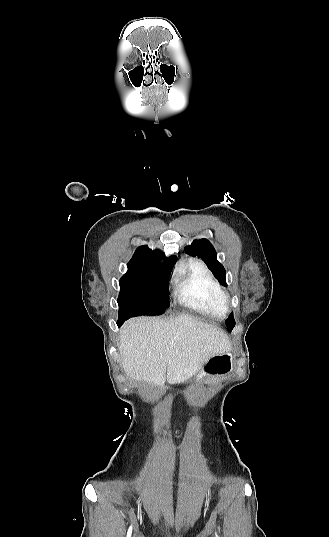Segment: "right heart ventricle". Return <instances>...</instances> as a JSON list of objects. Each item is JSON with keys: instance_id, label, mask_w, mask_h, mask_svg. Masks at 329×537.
<instances>
[{"instance_id": "1", "label": "right heart ventricle", "mask_w": 329, "mask_h": 537, "mask_svg": "<svg viewBox=\"0 0 329 537\" xmlns=\"http://www.w3.org/2000/svg\"><path fill=\"white\" fill-rule=\"evenodd\" d=\"M222 292L219 282L199 261L183 267L175 281V295L179 302L203 314L216 317L225 314L226 310L220 303Z\"/></svg>"}]
</instances>
